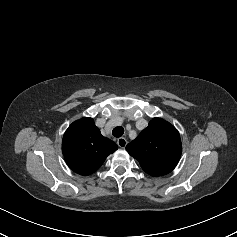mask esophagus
Here are the masks:
<instances>
[{
    "instance_id": "1",
    "label": "esophagus",
    "mask_w": 237,
    "mask_h": 237,
    "mask_svg": "<svg viewBox=\"0 0 237 237\" xmlns=\"http://www.w3.org/2000/svg\"><path fill=\"white\" fill-rule=\"evenodd\" d=\"M117 144L120 148H125L127 145V140L125 138L121 137L117 140Z\"/></svg>"
}]
</instances>
